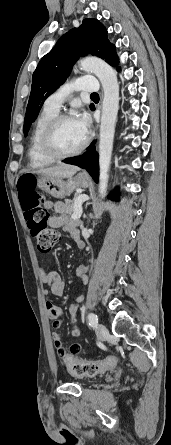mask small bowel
I'll use <instances>...</instances> for the list:
<instances>
[{"label": "small bowel", "instance_id": "1", "mask_svg": "<svg viewBox=\"0 0 171 445\" xmlns=\"http://www.w3.org/2000/svg\"><path fill=\"white\" fill-rule=\"evenodd\" d=\"M45 207L47 209H52L54 207V203L51 201H47L45 203ZM50 224L54 228H63L70 232V234L76 238L79 237V231H78V223L75 221H71L68 219L65 215H56L51 217ZM89 267L85 265H80L76 269L77 276L82 280V282H86V275L88 272ZM41 283L44 286H47L49 290H44V294L48 295L51 293L54 296H62L65 291V283L59 276L57 272L51 271L46 272L44 269L41 270ZM45 308L48 317L52 320V326L55 329H59L62 326L63 323V316H64V310L62 307L54 304L53 302L47 301L45 303ZM79 308V302H74L70 308L69 311L71 314H75L76 311ZM72 337L78 338L81 333V328L79 324L76 322V320L72 319V328L70 331ZM53 340H54V347L59 355H63L65 353L64 347H63V341L61 336L58 333H53ZM82 348V345L80 342H76L71 345L70 352L71 354H75L78 351H80ZM115 362V360H114ZM114 362L111 366H109L107 369L113 368ZM106 369V370H107Z\"/></svg>", "mask_w": 171, "mask_h": 445}]
</instances>
